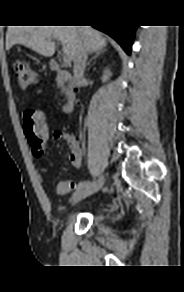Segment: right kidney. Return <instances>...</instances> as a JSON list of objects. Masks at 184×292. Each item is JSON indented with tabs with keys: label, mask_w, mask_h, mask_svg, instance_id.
Masks as SVG:
<instances>
[{
	"label": "right kidney",
	"mask_w": 184,
	"mask_h": 292,
	"mask_svg": "<svg viewBox=\"0 0 184 292\" xmlns=\"http://www.w3.org/2000/svg\"><path fill=\"white\" fill-rule=\"evenodd\" d=\"M111 75H112V73L108 68L104 69L103 75H102V78H101L102 82L108 81L110 79Z\"/></svg>",
	"instance_id": "right-kidney-1"
}]
</instances>
